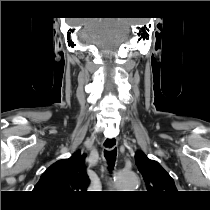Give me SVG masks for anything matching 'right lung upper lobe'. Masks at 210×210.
I'll list each match as a JSON object with an SVG mask.
<instances>
[{
	"instance_id": "cb5924a9",
	"label": "right lung upper lobe",
	"mask_w": 210,
	"mask_h": 210,
	"mask_svg": "<svg viewBox=\"0 0 210 210\" xmlns=\"http://www.w3.org/2000/svg\"><path fill=\"white\" fill-rule=\"evenodd\" d=\"M84 158L85 155L81 156L77 152L68 159L52 164L41 175L34 191L59 203L77 198L79 193L87 189L90 182Z\"/></svg>"
}]
</instances>
